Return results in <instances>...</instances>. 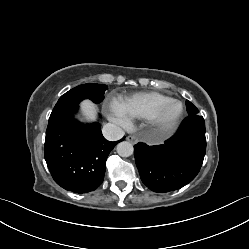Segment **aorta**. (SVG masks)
<instances>
[{
    "label": "aorta",
    "mask_w": 249,
    "mask_h": 249,
    "mask_svg": "<svg viewBox=\"0 0 249 249\" xmlns=\"http://www.w3.org/2000/svg\"><path fill=\"white\" fill-rule=\"evenodd\" d=\"M117 153L121 157H129L133 154V145L130 142L123 141L117 145Z\"/></svg>",
    "instance_id": "762f6f07"
}]
</instances>
